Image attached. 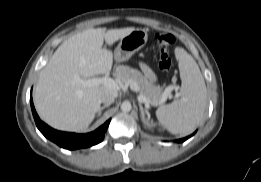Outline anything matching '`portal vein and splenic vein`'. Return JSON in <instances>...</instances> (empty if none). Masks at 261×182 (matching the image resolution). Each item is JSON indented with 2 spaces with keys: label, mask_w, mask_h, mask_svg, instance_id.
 I'll return each instance as SVG.
<instances>
[{
  "label": "portal vein and splenic vein",
  "mask_w": 261,
  "mask_h": 182,
  "mask_svg": "<svg viewBox=\"0 0 261 182\" xmlns=\"http://www.w3.org/2000/svg\"><path fill=\"white\" fill-rule=\"evenodd\" d=\"M75 82L83 84V85H86V86L105 85V86H107V87H109L111 89L119 90L118 83L114 79H112V78H110L108 76L101 77V78H91V79H88V80H83L80 77H76L75 78ZM129 85H130V89L133 90L134 92H139L140 91V87H139V85L136 82L132 81V82H130ZM171 90H172V88L169 87L167 93L163 95V99H162L161 103L166 101V99H167L168 95L170 94ZM137 99H138V101L140 103H144L146 107H149V104H150L149 100L144 95L139 94Z\"/></svg>",
  "instance_id": "1"
}]
</instances>
